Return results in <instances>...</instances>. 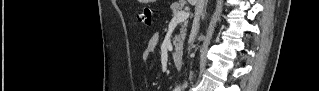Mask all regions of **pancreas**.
<instances>
[{"mask_svg":"<svg viewBox=\"0 0 319 91\" xmlns=\"http://www.w3.org/2000/svg\"><path fill=\"white\" fill-rule=\"evenodd\" d=\"M182 9H183V4L174 3L171 6V11H172L173 15H175L178 12H180ZM185 35H186V28H183L181 35L177 36L175 38V40H174V45L176 47H178L180 50L183 47V42H184V39H185ZM174 54H176V53H174Z\"/></svg>","mask_w":319,"mask_h":91,"instance_id":"cf45deb5","label":"pancreas"}]
</instances>
